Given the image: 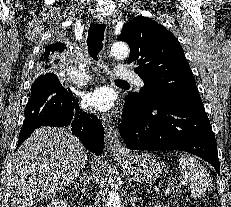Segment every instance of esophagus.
<instances>
[{"instance_id":"1","label":"esophagus","mask_w":231,"mask_h":207,"mask_svg":"<svg viewBox=\"0 0 231 207\" xmlns=\"http://www.w3.org/2000/svg\"><path fill=\"white\" fill-rule=\"evenodd\" d=\"M97 22L101 24H109L110 20L108 17L105 16H97ZM105 131L106 144L110 152L114 154L124 153L126 149L121 143L114 126L111 125L109 122H106Z\"/></svg>"}]
</instances>
